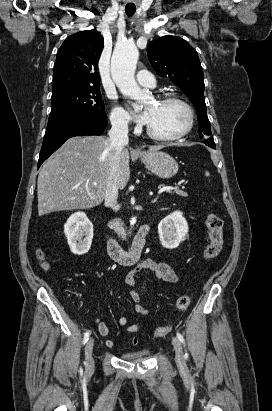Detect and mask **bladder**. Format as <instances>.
Listing matches in <instances>:
<instances>
[{
    "label": "bladder",
    "mask_w": 272,
    "mask_h": 411,
    "mask_svg": "<svg viewBox=\"0 0 272 411\" xmlns=\"http://www.w3.org/2000/svg\"><path fill=\"white\" fill-rule=\"evenodd\" d=\"M148 356H149L148 352H139V353L122 355V359L126 361H139V360L146 359Z\"/></svg>",
    "instance_id": "obj_1"
}]
</instances>
